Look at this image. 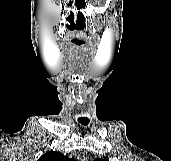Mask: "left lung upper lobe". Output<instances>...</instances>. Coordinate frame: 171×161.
Masks as SVG:
<instances>
[{"instance_id": "1", "label": "left lung upper lobe", "mask_w": 171, "mask_h": 161, "mask_svg": "<svg viewBox=\"0 0 171 161\" xmlns=\"http://www.w3.org/2000/svg\"><path fill=\"white\" fill-rule=\"evenodd\" d=\"M95 161H108V160L97 158Z\"/></svg>"}]
</instances>
